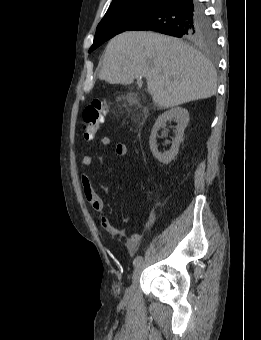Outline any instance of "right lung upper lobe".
I'll return each mask as SVG.
<instances>
[{"instance_id":"cb5924a9","label":"right lung upper lobe","mask_w":261,"mask_h":340,"mask_svg":"<svg viewBox=\"0 0 261 340\" xmlns=\"http://www.w3.org/2000/svg\"><path fill=\"white\" fill-rule=\"evenodd\" d=\"M136 1H145V0H113L109 8L115 7L118 5L131 3V2H136ZM146 1H161V0H146Z\"/></svg>"}]
</instances>
